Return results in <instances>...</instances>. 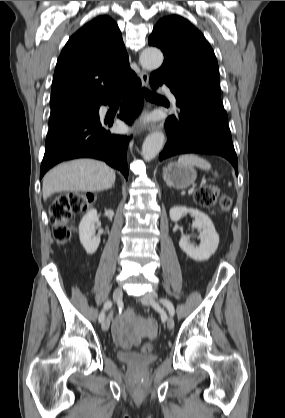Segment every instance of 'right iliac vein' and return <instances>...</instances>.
I'll return each instance as SVG.
<instances>
[{"instance_id": "right-iliac-vein-1", "label": "right iliac vein", "mask_w": 285, "mask_h": 418, "mask_svg": "<svg viewBox=\"0 0 285 418\" xmlns=\"http://www.w3.org/2000/svg\"><path fill=\"white\" fill-rule=\"evenodd\" d=\"M122 296H123L122 288L121 287L115 288V290L113 292V300L115 302H119V301H121ZM110 318H111V314L102 323V329L104 331H108L109 330V327H110Z\"/></svg>"}]
</instances>
